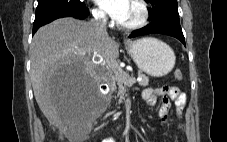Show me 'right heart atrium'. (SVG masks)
I'll list each match as a JSON object with an SVG mask.
<instances>
[{"instance_id": "d8ad5b80", "label": "right heart atrium", "mask_w": 227, "mask_h": 142, "mask_svg": "<svg viewBox=\"0 0 227 142\" xmlns=\"http://www.w3.org/2000/svg\"><path fill=\"white\" fill-rule=\"evenodd\" d=\"M92 16L94 20L99 21V22H104L106 17L105 14L98 8H94L92 10Z\"/></svg>"}]
</instances>
